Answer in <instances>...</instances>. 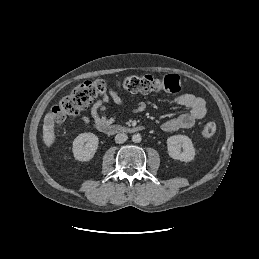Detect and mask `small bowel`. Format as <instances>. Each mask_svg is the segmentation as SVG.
Listing matches in <instances>:
<instances>
[{
	"label": "small bowel",
	"instance_id": "1",
	"mask_svg": "<svg viewBox=\"0 0 259 259\" xmlns=\"http://www.w3.org/2000/svg\"><path fill=\"white\" fill-rule=\"evenodd\" d=\"M110 101L119 106H124L123 99L112 89L109 90L108 95H104L98 99L90 108V117L83 116L82 122L88 124L91 119L96 126L100 124H111L117 115L108 114V105ZM174 103L188 109L187 113H183L175 118L165 121L161 125L164 132H174L182 129H191L198 120L203 119L207 113L206 102L203 98L196 95L185 93L173 98ZM140 106L134 107L133 111L136 112Z\"/></svg>",
	"mask_w": 259,
	"mask_h": 259
}]
</instances>
